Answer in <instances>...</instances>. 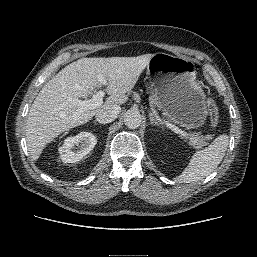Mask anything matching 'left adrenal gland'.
I'll return each instance as SVG.
<instances>
[{"instance_id":"1","label":"left adrenal gland","mask_w":257,"mask_h":257,"mask_svg":"<svg viewBox=\"0 0 257 257\" xmlns=\"http://www.w3.org/2000/svg\"><path fill=\"white\" fill-rule=\"evenodd\" d=\"M149 117H150V122H151L152 125L161 126V123H159V122L155 119L154 115H153L151 112L149 113ZM161 127L163 128V126H161Z\"/></svg>"}]
</instances>
